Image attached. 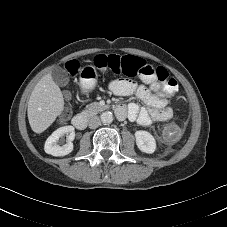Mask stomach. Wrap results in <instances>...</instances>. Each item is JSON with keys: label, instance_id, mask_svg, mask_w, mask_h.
<instances>
[{"label": "stomach", "instance_id": "stomach-1", "mask_svg": "<svg viewBox=\"0 0 227 227\" xmlns=\"http://www.w3.org/2000/svg\"><path fill=\"white\" fill-rule=\"evenodd\" d=\"M97 71L93 66H85L80 72V83L85 89H93L97 83Z\"/></svg>", "mask_w": 227, "mask_h": 227}]
</instances>
